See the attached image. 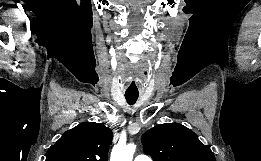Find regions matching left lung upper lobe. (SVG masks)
I'll return each mask as SVG.
<instances>
[{"mask_svg":"<svg viewBox=\"0 0 261 161\" xmlns=\"http://www.w3.org/2000/svg\"><path fill=\"white\" fill-rule=\"evenodd\" d=\"M141 141L154 161H216L210 146L178 123L157 125L146 131Z\"/></svg>","mask_w":261,"mask_h":161,"instance_id":"obj_1","label":"left lung upper lobe"}]
</instances>
